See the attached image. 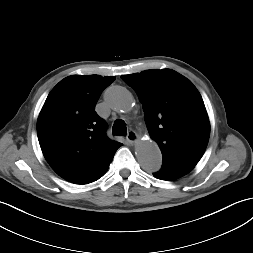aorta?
<instances>
[{
    "label": "aorta",
    "instance_id": "aorta-1",
    "mask_svg": "<svg viewBox=\"0 0 253 253\" xmlns=\"http://www.w3.org/2000/svg\"><path fill=\"white\" fill-rule=\"evenodd\" d=\"M105 102L114 111L128 112L132 109V94L122 86H112L105 92ZM136 157L146 171H157L161 167L162 155L158 145L150 140H141L135 148Z\"/></svg>",
    "mask_w": 253,
    "mask_h": 253
}]
</instances>
